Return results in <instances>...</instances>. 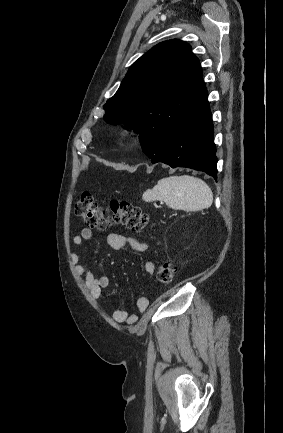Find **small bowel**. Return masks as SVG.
Returning a JSON list of instances; mask_svg holds the SVG:
<instances>
[{
    "label": "small bowel",
    "instance_id": "1",
    "mask_svg": "<svg viewBox=\"0 0 283 433\" xmlns=\"http://www.w3.org/2000/svg\"><path fill=\"white\" fill-rule=\"evenodd\" d=\"M93 236L90 228H83L81 232L73 237V242L76 246H82L87 240H90ZM107 243L110 248L114 250H121L124 248H132L138 252H143L148 248V245L144 241H140L129 234L123 233H109L107 235ZM72 261L75 266V270L79 275L84 276L85 284L89 289L91 295L94 298H99L102 291L108 286L109 278L106 276H95L93 272L86 266L80 264V254L75 253L72 255ZM145 272L152 275L155 272V265L153 262H147L144 266ZM137 309L139 312H144L148 305L149 300L146 297H141L137 300ZM113 319L116 322H124L129 326L134 325L138 316L136 314H129L125 310L117 309L112 314Z\"/></svg>",
    "mask_w": 283,
    "mask_h": 433
}]
</instances>
